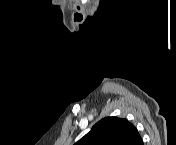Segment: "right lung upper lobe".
I'll use <instances>...</instances> for the list:
<instances>
[{"label": "right lung upper lobe", "mask_w": 176, "mask_h": 145, "mask_svg": "<svg viewBox=\"0 0 176 145\" xmlns=\"http://www.w3.org/2000/svg\"><path fill=\"white\" fill-rule=\"evenodd\" d=\"M75 145H143V141L128 120L107 117L96 123Z\"/></svg>", "instance_id": "cb5924a9"}]
</instances>
